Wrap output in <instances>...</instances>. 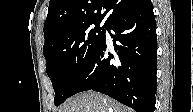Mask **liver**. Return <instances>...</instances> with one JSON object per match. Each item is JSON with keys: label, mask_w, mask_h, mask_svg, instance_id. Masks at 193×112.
<instances>
[{"label": "liver", "mask_w": 193, "mask_h": 112, "mask_svg": "<svg viewBox=\"0 0 193 112\" xmlns=\"http://www.w3.org/2000/svg\"><path fill=\"white\" fill-rule=\"evenodd\" d=\"M59 112H132V110L100 93L88 91L69 99Z\"/></svg>", "instance_id": "1"}]
</instances>
